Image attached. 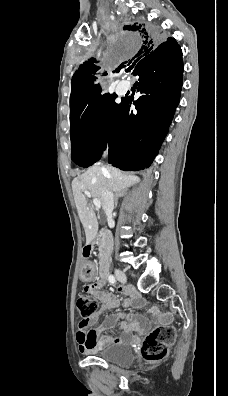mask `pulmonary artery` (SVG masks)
<instances>
[{"label":"pulmonary artery","instance_id":"pulmonary-artery-1","mask_svg":"<svg viewBox=\"0 0 228 396\" xmlns=\"http://www.w3.org/2000/svg\"><path fill=\"white\" fill-rule=\"evenodd\" d=\"M126 87H123V89L119 90V93L122 94L124 92Z\"/></svg>","mask_w":228,"mask_h":396}]
</instances>
